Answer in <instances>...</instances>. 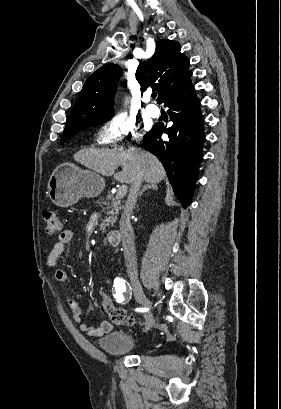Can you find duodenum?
Segmentation results:
<instances>
[{"instance_id": "obj_1", "label": "duodenum", "mask_w": 281, "mask_h": 409, "mask_svg": "<svg viewBox=\"0 0 281 409\" xmlns=\"http://www.w3.org/2000/svg\"><path fill=\"white\" fill-rule=\"evenodd\" d=\"M107 239L112 246H118L121 242V233L117 230L110 231L107 234Z\"/></svg>"}]
</instances>
